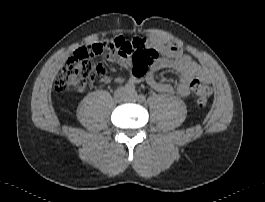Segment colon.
Segmentation results:
<instances>
[{
	"label": "colon",
	"mask_w": 265,
	"mask_h": 202,
	"mask_svg": "<svg viewBox=\"0 0 265 202\" xmlns=\"http://www.w3.org/2000/svg\"><path fill=\"white\" fill-rule=\"evenodd\" d=\"M105 52H117L124 57H130L132 74L137 79L145 75L150 62L158 57L156 49L124 38L96 43L65 61L56 77L55 89L58 92L82 91L96 74H103L102 68L96 65L93 59ZM191 90L193 99L199 106H205L211 98L212 88L207 82L194 80L191 83Z\"/></svg>",
	"instance_id": "obj_1"
}]
</instances>
